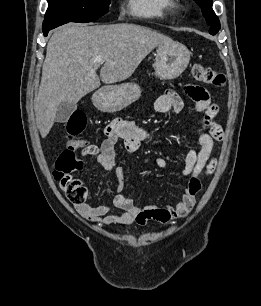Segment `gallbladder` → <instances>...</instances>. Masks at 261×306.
Here are the masks:
<instances>
[{"instance_id":"1","label":"gallbladder","mask_w":261,"mask_h":306,"mask_svg":"<svg viewBox=\"0 0 261 306\" xmlns=\"http://www.w3.org/2000/svg\"><path fill=\"white\" fill-rule=\"evenodd\" d=\"M76 109L75 103L62 102L57 108L55 120L59 123L67 122Z\"/></svg>"}]
</instances>
